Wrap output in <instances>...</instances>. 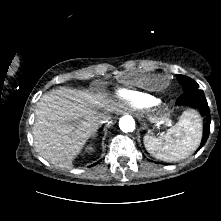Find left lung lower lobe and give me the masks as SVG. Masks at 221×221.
I'll return each mask as SVG.
<instances>
[{"mask_svg": "<svg viewBox=\"0 0 221 221\" xmlns=\"http://www.w3.org/2000/svg\"><path fill=\"white\" fill-rule=\"evenodd\" d=\"M176 102L180 105L196 109L204 118L203 138L201 145L197 150L199 151L208 139L211 123L210 110L204 92L200 89L184 92Z\"/></svg>", "mask_w": 221, "mask_h": 221, "instance_id": "left-lung-lower-lobe-1", "label": "left lung lower lobe"}]
</instances>
